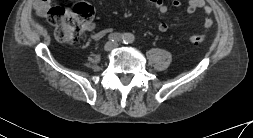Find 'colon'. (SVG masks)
<instances>
[{
  "mask_svg": "<svg viewBox=\"0 0 253 138\" xmlns=\"http://www.w3.org/2000/svg\"><path fill=\"white\" fill-rule=\"evenodd\" d=\"M94 16L93 7L85 2H77L70 7H52L48 11L50 21L55 25V35L65 44L75 43L89 26ZM206 35H191L189 42L200 45L206 41Z\"/></svg>",
  "mask_w": 253,
  "mask_h": 138,
  "instance_id": "1",
  "label": "colon"
}]
</instances>
